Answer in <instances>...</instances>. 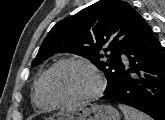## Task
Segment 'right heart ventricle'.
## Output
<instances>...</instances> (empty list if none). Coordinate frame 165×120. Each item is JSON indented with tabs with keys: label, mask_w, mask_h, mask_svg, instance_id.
I'll return each mask as SVG.
<instances>
[{
	"label": "right heart ventricle",
	"mask_w": 165,
	"mask_h": 120,
	"mask_svg": "<svg viewBox=\"0 0 165 120\" xmlns=\"http://www.w3.org/2000/svg\"><path fill=\"white\" fill-rule=\"evenodd\" d=\"M47 71H45L37 80L34 86V102L41 108H52L56 103L49 97L44 86V77Z\"/></svg>",
	"instance_id": "right-heart-ventricle-1"
}]
</instances>
